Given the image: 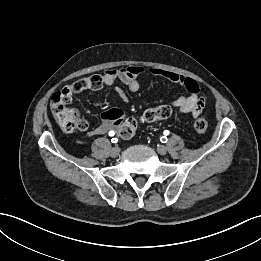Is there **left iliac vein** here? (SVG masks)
I'll return each mask as SVG.
<instances>
[{
  "instance_id": "obj_1",
  "label": "left iliac vein",
  "mask_w": 261,
  "mask_h": 261,
  "mask_svg": "<svg viewBox=\"0 0 261 261\" xmlns=\"http://www.w3.org/2000/svg\"><path fill=\"white\" fill-rule=\"evenodd\" d=\"M157 152L160 155H165L167 153V148L164 145H158L157 146Z\"/></svg>"
}]
</instances>
